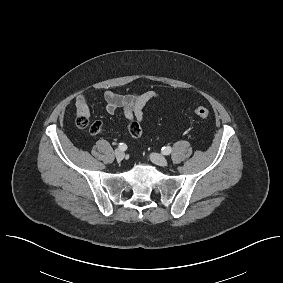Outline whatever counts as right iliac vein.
Returning a JSON list of instances; mask_svg holds the SVG:
<instances>
[{"mask_svg":"<svg viewBox=\"0 0 283 283\" xmlns=\"http://www.w3.org/2000/svg\"><path fill=\"white\" fill-rule=\"evenodd\" d=\"M114 154L117 160H122L125 157V154L121 149H116Z\"/></svg>","mask_w":283,"mask_h":283,"instance_id":"63e3f726","label":"right iliac vein"}]
</instances>
